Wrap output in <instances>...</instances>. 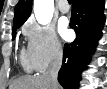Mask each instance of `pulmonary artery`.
<instances>
[{
    "instance_id": "1",
    "label": "pulmonary artery",
    "mask_w": 107,
    "mask_h": 89,
    "mask_svg": "<svg viewBox=\"0 0 107 89\" xmlns=\"http://www.w3.org/2000/svg\"><path fill=\"white\" fill-rule=\"evenodd\" d=\"M58 7L62 13H67L69 11V6L65 0L59 1Z\"/></svg>"
}]
</instances>
